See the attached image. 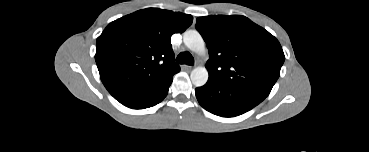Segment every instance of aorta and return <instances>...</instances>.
Returning a JSON list of instances; mask_svg holds the SVG:
<instances>
[{"label": "aorta", "mask_w": 369, "mask_h": 152, "mask_svg": "<svg viewBox=\"0 0 369 152\" xmlns=\"http://www.w3.org/2000/svg\"><path fill=\"white\" fill-rule=\"evenodd\" d=\"M184 44L193 52L204 53L205 42L196 30H188L183 36ZM191 81L196 87H201L206 84L208 80V71L205 67H196L190 74Z\"/></svg>", "instance_id": "1"}]
</instances>
